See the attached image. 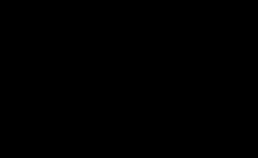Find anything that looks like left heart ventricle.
<instances>
[{"instance_id":"obj_1","label":"left heart ventricle","mask_w":258,"mask_h":158,"mask_svg":"<svg viewBox=\"0 0 258 158\" xmlns=\"http://www.w3.org/2000/svg\"><path fill=\"white\" fill-rule=\"evenodd\" d=\"M174 52L170 47H162L146 63L144 75L149 80H157L163 77L174 63Z\"/></svg>"}]
</instances>
